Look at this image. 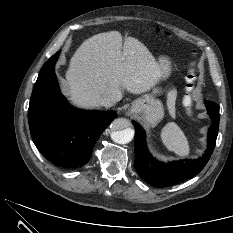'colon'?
<instances>
[{"mask_svg":"<svg viewBox=\"0 0 233 233\" xmlns=\"http://www.w3.org/2000/svg\"><path fill=\"white\" fill-rule=\"evenodd\" d=\"M196 79H197L196 69L194 65H192L186 77L187 87L189 90H191L194 87Z\"/></svg>","mask_w":233,"mask_h":233,"instance_id":"1","label":"colon"}]
</instances>
